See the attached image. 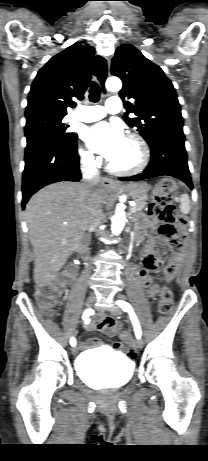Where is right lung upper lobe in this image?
I'll list each match as a JSON object with an SVG mask.
<instances>
[{
    "label": "right lung upper lobe",
    "mask_w": 208,
    "mask_h": 461,
    "mask_svg": "<svg viewBox=\"0 0 208 461\" xmlns=\"http://www.w3.org/2000/svg\"><path fill=\"white\" fill-rule=\"evenodd\" d=\"M95 51L77 42L53 56L38 72L28 96L25 116H65L83 99L92 74Z\"/></svg>",
    "instance_id": "cb5924a9"
}]
</instances>
